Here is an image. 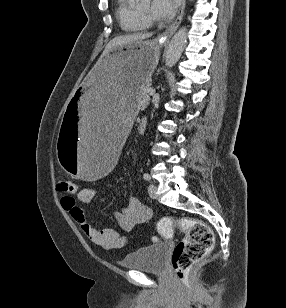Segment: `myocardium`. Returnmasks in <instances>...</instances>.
<instances>
[{
	"label": "myocardium",
	"instance_id": "1",
	"mask_svg": "<svg viewBox=\"0 0 286 308\" xmlns=\"http://www.w3.org/2000/svg\"><path fill=\"white\" fill-rule=\"evenodd\" d=\"M139 15L146 20L148 23L152 21V16L149 13H144L140 10H138Z\"/></svg>",
	"mask_w": 286,
	"mask_h": 308
}]
</instances>
